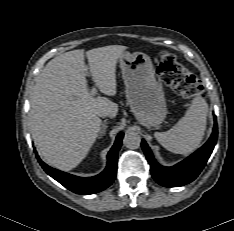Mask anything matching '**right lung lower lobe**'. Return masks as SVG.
<instances>
[{"label": "right lung lower lobe", "instance_id": "right-lung-lower-lobe-1", "mask_svg": "<svg viewBox=\"0 0 234 231\" xmlns=\"http://www.w3.org/2000/svg\"><path fill=\"white\" fill-rule=\"evenodd\" d=\"M123 135L124 134L121 132L116 137V141L113 147L111 148L110 152L108 153V164L106 169L99 175L93 177H77L53 169L46 165L44 162H42L37 154L36 156L40 165L46 171V173L72 192L84 195L94 194L109 187L116 177L118 159L117 153L120 149Z\"/></svg>", "mask_w": 234, "mask_h": 231}]
</instances>
